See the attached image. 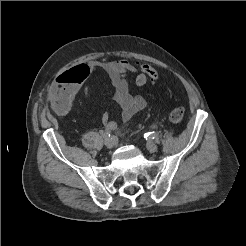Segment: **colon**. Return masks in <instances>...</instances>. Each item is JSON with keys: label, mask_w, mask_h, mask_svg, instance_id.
Returning <instances> with one entry per match:
<instances>
[{"label": "colon", "mask_w": 246, "mask_h": 246, "mask_svg": "<svg viewBox=\"0 0 246 246\" xmlns=\"http://www.w3.org/2000/svg\"><path fill=\"white\" fill-rule=\"evenodd\" d=\"M140 73L136 77V84L139 86L145 85L148 81H157L158 80V73L157 71L152 68L151 66L139 63ZM185 114V110L183 107H175L172 109L170 113V120L173 123H179L183 120Z\"/></svg>", "instance_id": "obj_1"}]
</instances>
